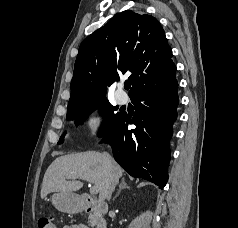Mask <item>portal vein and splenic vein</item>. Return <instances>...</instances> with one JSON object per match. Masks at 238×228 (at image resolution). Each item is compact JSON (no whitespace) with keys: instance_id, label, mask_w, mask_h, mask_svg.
Listing matches in <instances>:
<instances>
[{"instance_id":"18ae733b","label":"portal vein and splenic vein","mask_w":238,"mask_h":228,"mask_svg":"<svg viewBox=\"0 0 238 228\" xmlns=\"http://www.w3.org/2000/svg\"><path fill=\"white\" fill-rule=\"evenodd\" d=\"M81 179H84V180L90 182V178H88V177H84V178H81ZM90 193L92 195H96L98 193V189L95 186L90 187Z\"/></svg>"}]
</instances>
